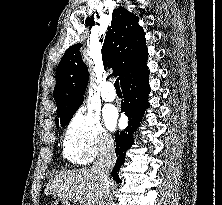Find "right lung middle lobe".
<instances>
[{
  "instance_id": "obj_1",
  "label": "right lung middle lobe",
  "mask_w": 222,
  "mask_h": 205,
  "mask_svg": "<svg viewBox=\"0 0 222 205\" xmlns=\"http://www.w3.org/2000/svg\"><path fill=\"white\" fill-rule=\"evenodd\" d=\"M71 118H72V116H71V117H68V118L56 120V126H57V128L59 127V122H60L61 126H65V125H67V124L70 122Z\"/></svg>"
}]
</instances>
